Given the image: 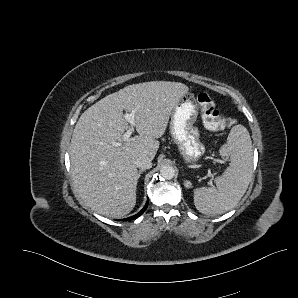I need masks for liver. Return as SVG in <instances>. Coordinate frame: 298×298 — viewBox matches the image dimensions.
Wrapping results in <instances>:
<instances>
[{
	"instance_id": "6515ba94",
	"label": "liver",
	"mask_w": 298,
	"mask_h": 298,
	"mask_svg": "<svg viewBox=\"0 0 298 298\" xmlns=\"http://www.w3.org/2000/svg\"><path fill=\"white\" fill-rule=\"evenodd\" d=\"M189 92L182 82L149 81L128 85L85 110L71 139V175L85 204L98 214L119 218L136 204V159L153 160L174 107ZM135 110L139 135L123 140L129 129L123 111ZM120 143L114 146L113 143Z\"/></svg>"
}]
</instances>
